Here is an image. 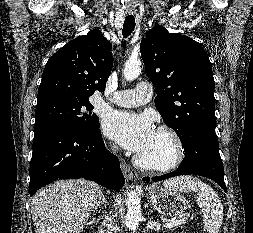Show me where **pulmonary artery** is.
I'll return each instance as SVG.
<instances>
[{"mask_svg":"<svg viewBox=\"0 0 253 233\" xmlns=\"http://www.w3.org/2000/svg\"><path fill=\"white\" fill-rule=\"evenodd\" d=\"M152 87L148 82H140L135 89L121 90L108 99L111 103L123 107H136L150 101Z\"/></svg>","mask_w":253,"mask_h":233,"instance_id":"pulmonary-artery-1","label":"pulmonary artery"}]
</instances>
